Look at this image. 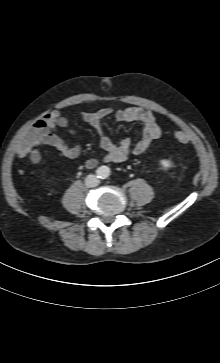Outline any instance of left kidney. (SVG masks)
<instances>
[{
    "label": "left kidney",
    "instance_id": "left-kidney-1",
    "mask_svg": "<svg viewBox=\"0 0 220 363\" xmlns=\"http://www.w3.org/2000/svg\"><path fill=\"white\" fill-rule=\"evenodd\" d=\"M162 166H164V167H169V165H170V163L168 162V161H166V160H164V161H162Z\"/></svg>",
    "mask_w": 220,
    "mask_h": 363
}]
</instances>
